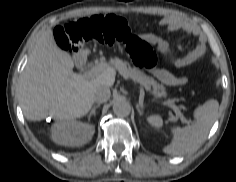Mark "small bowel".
<instances>
[{
    "label": "small bowel",
    "instance_id": "obj_1",
    "mask_svg": "<svg viewBox=\"0 0 236 182\" xmlns=\"http://www.w3.org/2000/svg\"><path fill=\"white\" fill-rule=\"evenodd\" d=\"M161 24L167 28L168 32H191L189 24L175 16L164 17L161 20ZM141 39L146 43L156 45L158 51L161 52L166 57V59L177 68L194 63L205 53V45L203 42L198 44L192 51H190L183 57H175L171 52L168 42L161 37L152 33H147L141 35ZM187 81V77H180L177 79V83L181 85L187 83Z\"/></svg>",
    "mask_w": 236,
    "mask_h": 182
}]
</instances>
